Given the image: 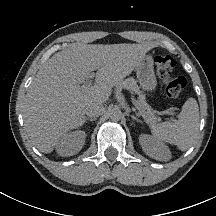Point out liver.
<instances>
[{
	"label": "liver",
	"mask_w": 216,
	"mask_h": 216,
	"mask_svg": "<svg viewBox=\"0 0 216 216\" xmlns=\"http://www.w3.org/2000/svg\"><path fill=\"white\" fill-rule=\"evenodd\" d=\"M151 48L149 42L72 43L54 54L38 71L24 99V125L32 143L39 151L51 153L67 131L84 124L86 107L106 102L112 88L132 73ZM92 77V86L77 84Z\"/></svg>",
	"instance_id": "obj_1"
}]
</instances>
